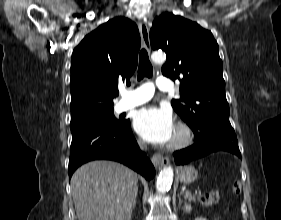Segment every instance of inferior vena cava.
I'll use <instances>...</instances> for the list:
<instances>
[{"instance_id": "inferior-vena-cava-1", "label": "inferior vena cava", "mask_w": 281, "mask_h": 220, "mask_svg": "<svg viewBox=\"0 0 281 220\" xmlns=\"http://www.w3.org/2000/svg\"><path fill=\"white\" fill-rule=\"evenodd\" d=\"M139 146H140V148H141L142 150H146V149H147L146 144H145L144 142H142V141L139 142Z\"/></svg>"}]
</instances>
